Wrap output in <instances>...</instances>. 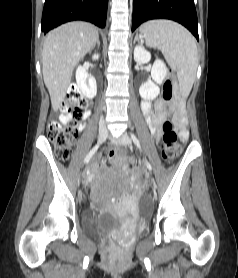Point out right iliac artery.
Here are the masks:
<instances>
[{"instance_id":"1","label":"right iliac artery","mask_w":238,"mask_h":278,"mask_svg":"<svg viewBox=\"0 0 238 278\" xmlns=\"http://www.w3.org/2000/svg\"><path fill=\"white\" fill-rule=\"evenodd\" d=\"M99 148V144L95 145L90 152L86 155L85 159H84V163H88L89 160L92 158V156L95 154V152L98 150Z\"/></svg>"}]
</instances>
